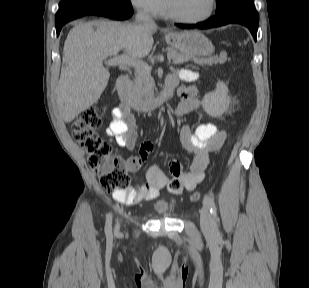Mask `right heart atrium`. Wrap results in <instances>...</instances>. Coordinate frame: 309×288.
<instances>
[{
    "mask_svg": "<svg viewBox=\"0 0 309 288\" xmlns=\"http://www.w3.org/2000/svg\"><path fill=\"white\" fill-rule=\"evenodd\" d=\"M129 2L136 10L148 16L159 15L164 8L163 0H129Z\"/></svg>",
    "mask_w": 309,
    "mask_h": 288,
    "instance_id": "obj_1",
    "label": "right heart atrium"
}]
</instances>
